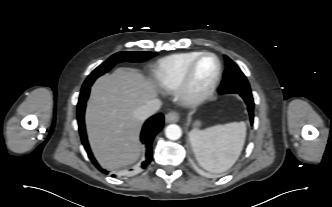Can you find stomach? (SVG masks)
Returning <instances> with one entry per match:
<instances>
[{
    "mask_svg": "<svg viewBox=\"0 0 332 207\" xmlns=\"http://www.w3.org/2000/svg\"><path fill=\"white\" fill-rule=\"evenodd\" d=\"M199 124H200L199 121H196V122L194 123L195 126H198Z\"/></svg>",
    "mask_w": 332,
    "mask_h": 207,
    "instance_id": "0dacf381",
    "label": "stomach"
}]
</instances>
